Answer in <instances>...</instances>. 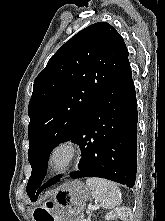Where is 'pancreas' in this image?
<instances>
[{
    "instance_id": "pancreas-1",
    "label": "pancreas",
    "mask_w": 165,
    "mask_h": 221,
    "mask_svg": "<svg viewBox=\"0 0 165 221\" xmlns=\"http://www.w3.org/2000/svg\"><path fill=\"white\" fill-rule=\"evenodd\" d=\"M76 221H84V219H82L81 216H79Z\"/></svg>"
}]
</instances>
